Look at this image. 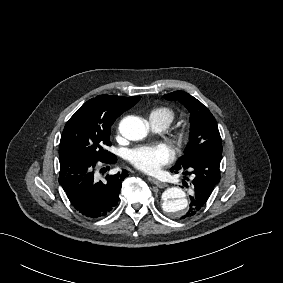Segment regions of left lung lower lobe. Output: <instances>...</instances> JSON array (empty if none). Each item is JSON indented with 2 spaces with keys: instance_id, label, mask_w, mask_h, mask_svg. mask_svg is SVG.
<instances>
[{
  "instance_id": "obj_1",
  "label": "left lung lower lobe",
  "mask_w": 283,
  "mask_h": 283,
  "mask_svg": "<svg viewBox=\"0 0 283 283\" xmlns=\"http://www.w3.org/2000/svg\"><path fill=\"white\" fill-rule=\"evenodd\" d=\"M221 156L222 153H207L186 167L175 165L171 168V171L175 170L176 173L178 170H184V174L190 175L192 179L193 194L190 196V208L186 215L182 216V219L195 215L205 206L214 187L220 181ZM184 178L188 180L187 177Z\"/></svg>"
}]
</instances>
